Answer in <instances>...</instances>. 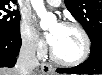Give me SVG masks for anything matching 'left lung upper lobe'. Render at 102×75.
<instances>
[{"mask_svg": "<svg viewBox=\"0 0 102 75\" xmlns=\"http://www.w3.org/2000/svg\"><path fill=\"white\" fill-rule=\"evenodd\" d=\"M73 17L83 26L90 40L102 37V1L65 0Z\"/></svg>", "mask_w": 102, "mask_h": 75, "instance_id": "5c2ea615", "label": "left lung upper lobe"}]
</instances>
